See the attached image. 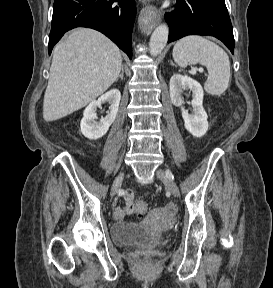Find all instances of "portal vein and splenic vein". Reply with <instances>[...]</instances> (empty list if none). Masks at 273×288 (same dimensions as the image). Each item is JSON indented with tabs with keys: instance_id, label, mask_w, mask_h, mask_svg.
I'll use <instances>...</instances> for the list:
<instances>
[{
	"instance_id": "portal-vein-and-splenic-vein-1",
	"label": "portal vein and splenic vein",
	"mask_w": 273,
	"mask_h": 288,
	"mask_svg": "<svg viewBox=\"0 0 273 288\" xmlns=\"http://www.w3.org/2000/svg\"><path fill=\"white\" fill-rule=\"evenodd\" d=\"M197 68L196 67H192L191 72L192 73H196ZM200 72H203V69H200Z\"/></svg>"
}]
</instances>
